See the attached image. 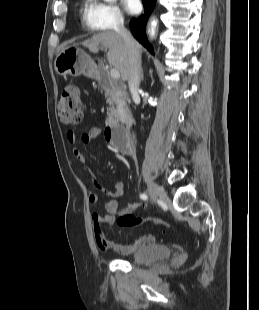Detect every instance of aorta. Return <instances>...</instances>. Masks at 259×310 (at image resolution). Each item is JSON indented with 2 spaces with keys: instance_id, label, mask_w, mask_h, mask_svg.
<instances>
[{
  "instance_id": "aorta-1",
  "label": "aorta",
  "mask_w": 259,
  "mask_h": 310,
  "mask_svg": "<svg viewBox=\"0 0 259 310\" xmlns=\"http://www.w3.org/2000/svg\"><path fill=\"white\" fill-rule=\"evenodd\" d=\"M106 2H112L114 0H105ZM156 26H157V20L155 18H153L151 20V23H150V29H149V34H150V37H155V34H156Z\"/></svg>"
}]
</instances>
